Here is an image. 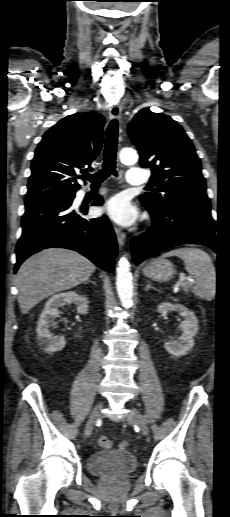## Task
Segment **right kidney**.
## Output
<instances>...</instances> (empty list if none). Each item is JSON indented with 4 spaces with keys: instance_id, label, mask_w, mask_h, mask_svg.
<instances>
[{
    "instance_id": "obj_1",
    "label": "right kidney",
    "mask_w": 230,
    "mask_h": 517,
    "mask_svg": "<svg viewBox=\"0 0 230 517\" xmlns=\"http://www.w3.org/2000/svg\"><path fill=\"white\" fill-rule=\"evenodd\" d=\"M66 303H74L79 314L88 312V299L75 291L52 296L45 304L36 329L38 344L47 353L59 351L66 344L63 336H54L49 330L50 323L59 315L58 308Z\"/></svg>"
}]
</instances>
